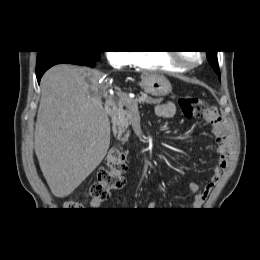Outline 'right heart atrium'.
I'll use <instances>...</instances> for the list:
<instances>
[{
	"instance_id": "obj_1",
	"label": "right heart atrium",
	"mask_w": 260,
	"mask_h": 260,
	"mask_svg": "<svg viewBox=\"0 0 260 260\" xmlns=\"http://www.w3.org/2000/svg\"><path fill=\"white\" fill-rule=\"evenodd\" d=\"M111 66L121 69L133 64V53L129 51L113 50L106 54Z\"/></svg>"
}]
</instances>
